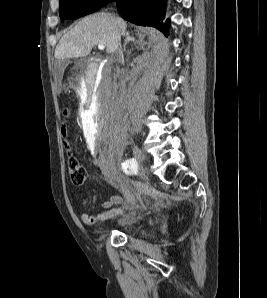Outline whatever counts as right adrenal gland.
Here are the masks:
<instances>
[{"instance_id":"right-adrenal-gland-1","label":"right adrenal gland","mask_w":267,"mask_h":298,"mask_svg":"<svg viewBox=\"0 0 267 298\" xmlns=\"http://www.w3.org/2000/svg\"><path fill=\"white\" fill-rule=\"evenodd\" d=\"M134 40H135V38H134V37H131V36H130V33L127 32V33H126L125 43H124V45H123L124 51H126V45H127V43L130 42V41H134Z\"/></svg>"}]
</instances>
